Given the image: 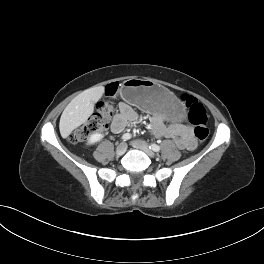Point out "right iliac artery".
<instances>
[{"instance_id": "1", "label": "right iliac artery", "mask_w": 264, "mask_h": 264, "mask_svg": "<svg viewBox=\"0 0 264 264\" xmlns=\"http://www.w3.org/2000/svg\"><path fill=\"white\" fill-rule=\"evenodd\" d=\"M131 134L130 133H125V134H123V136H122V140L123 141H127V140H129V139H131Z\"/></svg>"}]
</instances>
